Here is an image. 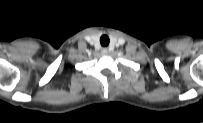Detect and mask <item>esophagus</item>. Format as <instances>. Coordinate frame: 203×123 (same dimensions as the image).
Masks as SVG:
<instances>
[{
    "mask_svg": "<svg viewBox=\"0 0 203 123\" xmlns=\"http://www.w3.org/2000/svg\"><path fill=\"white\" fill-rule=\"evenodd\" d=\"M101 52H102V54L106 55V54H108V49L107 48H103L101 50Z\"/></svg>",
    "mask_w": 203,
    "mask_h": 123,
    "instance_id": "obj_1",
    "label": "esophagus"
}]
</instances>
